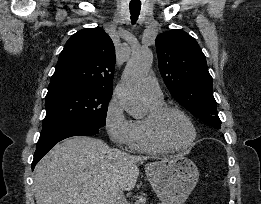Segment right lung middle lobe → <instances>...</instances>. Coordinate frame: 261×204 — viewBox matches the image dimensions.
Segmentation results:
<instances>
[{
	"label": "right lung middle lobe",
	"mask_w": 261,
	"mask_h": 204,
	"mask_svg": "<svg viewBox=\"0 0 261 204\" xmlns=\"http://www.w3.org/2000/svg\"><path fill=\"white\" fill-rule=\"evenodd\" d=\"M112 92L74 89L47 94L43 129L70 123L106 124L108 102Z\"/></svg>",
	"instance_id": "right-lung-middle-lobe-1"
}]
</instances>
